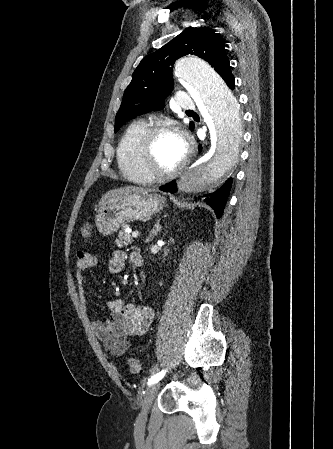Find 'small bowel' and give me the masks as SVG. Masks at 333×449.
Wrapping results in <instances>:
<instances>
[{"label": "small bowel", "mask_w": 333, "mask_h": 449, "mask_svg": "<svg viewBox=\"0 0 333 449\" xmlns=\"http://www.w3.org/2000/svg\"><path fill=\"white\" fill-rule=\"evenodd\" d=\"M135 253L115 251L108 262L110 273L117 274L124 270L126 263L134 262ZM97 264L96 257L88 252L77 253L75 280L80 302L86 306V271ZM110 316L93 322V330L104 343L107 350L119 356L129 349L133 340L148 330L154 311L147 306L126 303L123 300H112L108 305Z\"/></svg>", "instance_id": "1"}]
</instances>
